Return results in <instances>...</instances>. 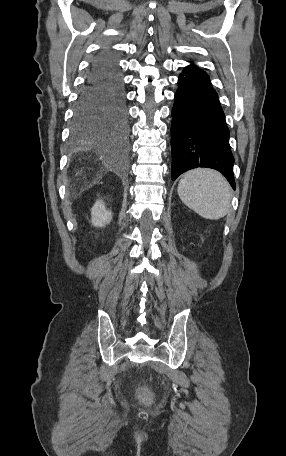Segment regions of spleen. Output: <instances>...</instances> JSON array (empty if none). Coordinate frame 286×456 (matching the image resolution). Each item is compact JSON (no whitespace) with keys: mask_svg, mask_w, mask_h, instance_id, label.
<instances>
[{"mask_svg":"<svg viewBox=\"0 0 286 456\" xmlns=\"http://www.w3.org/2000/svg\"><path fill=\"white\" fill-rule=\"evenodd\" d=\"M177 192L188 208L205 219L218 220L231 208L230 185L221 173L212 169L186 172L179 181Z\"/></svg>","mask_w":286,"mask_h":456,"instance_id":"spleen-1","label":"spleen"}]
</instances>
